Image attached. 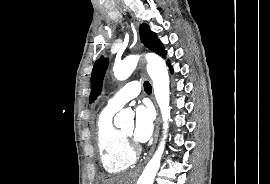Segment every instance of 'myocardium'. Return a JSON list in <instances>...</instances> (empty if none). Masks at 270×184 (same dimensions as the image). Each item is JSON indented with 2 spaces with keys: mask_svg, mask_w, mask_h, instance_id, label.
Listing matches in <instances>:
<instances>
[{
  "mask_svg": "<svg viewBox=\"0 0 270 184\" xmlns=\"http://www.w3.org/2000/svg\"><path fill=\"white\" fill-rule=\"evenodd\" d=\"M122 135L126 141V143L128 144V147L130 148V150L136 154V152L138 151V146L134 143L131 135L125 133V132H122Z\"/></svg>",
  "mask_w": 270,
  "mask_h": 184,
  "instance_id": "myocardium-1",
  "label": "myocardium"
}]
</instances>
